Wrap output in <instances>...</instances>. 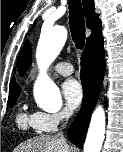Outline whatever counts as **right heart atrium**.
Instances as JSON below:
<instances>
[{"instance_id": "d8ad5b80", "label": "right heart atrium", "mask_w": 123, "mask_h": 152, "mask_svg": "<svg viewBox=\"0 0 123 152\" xmlns=\"http://www.w3.org/2000/svg\"><path fill=\"white\" fill-rule=\"evenodd\" d=\"M70 111L63 109L54 113L36 112L35 125L41 132L54 131L63 121L68 119Z\"/></svg>"}]
</instances>
